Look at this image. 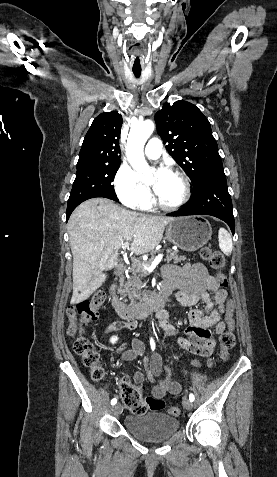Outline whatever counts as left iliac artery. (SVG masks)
<instances>
[{"mask_svg": "<svg viewBox=\"0 0 277 477\" xmlns=\"http://www.w3.org/2000/svg\"><path fill=\"white\" fill-rule=\"evenodd\" d=\"M194 399H195V398H194V395H193V394H190V395H189V400H190L191 402H193Z\"/></svg>", "mask_w": 277, "mask_h": 477, "instance_id": "44dca946", "label": "left iliac artery"}]
</instances>
